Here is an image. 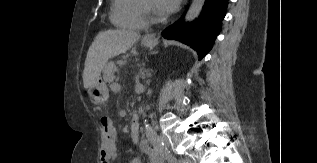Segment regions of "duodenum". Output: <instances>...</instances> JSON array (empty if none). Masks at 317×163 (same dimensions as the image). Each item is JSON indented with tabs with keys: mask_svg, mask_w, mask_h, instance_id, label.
<instances>
[{
	"mask_svg": "<svg viewBox=\"0 0 317 163\" xmlns=\"http://www.w3.org/2000/svg\"><path fill=\"white\" fill-rule=\"evenodd\" d=\"M130 134L134 142H138L140 140L139 119L136 115H134L131 120Z\"/></svg>",
	"mask_w": 317,
	"mask_h": 163,
	"instance_id": "1",
	"label": "duodenum"
}]
</instances>
